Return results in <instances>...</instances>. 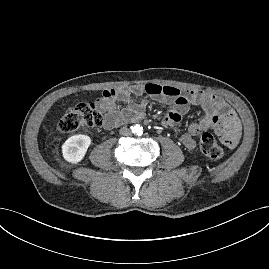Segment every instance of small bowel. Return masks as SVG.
I'll list each match as a JSON object with an SVG mask.
<instances>
[{
	"label": "small bowel",
	"mask_w": 269,
	"mask_h": 269,
	"mask_svg": "<svg viewBox=\"0 0 269 269\" xmlns=\"http://www.w3.org/2000/svg\"><path fill=\"white\" fill-rule=\"evenodd\" d=\"M143 93H147L158 102L172 105V110L165 114L162 122L165 127L179 125L183 115L189 111L191 106H200L203 109L204 117L199 122H192L188 126V132L180 137L181 143L187 149L192 150L196 147L193 136L208 130H213L229 148H234L239 143L240 120L223 99L205 91L181 92L175 87L157 84L132 85L124 89H105L102 97L98 98L96 102L99 110L105 113L104 128L110 130L123 123L141 119L147 101H133L131 95ZM121 103H127V107L121 108Z\"/></svg>",
	"instance_id": "1"
}]
</instances>
